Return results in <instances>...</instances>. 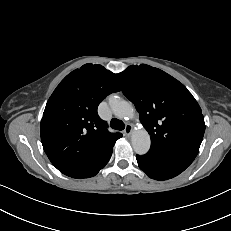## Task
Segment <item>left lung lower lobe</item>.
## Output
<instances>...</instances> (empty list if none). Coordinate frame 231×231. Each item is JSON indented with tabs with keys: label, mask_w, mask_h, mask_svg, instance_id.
I'll return each instance as SVG.
<instances>
[{
	"label": "left lung lower lobe",
	"mask_w": 231,
	"mask_h": 231,
	"mask_svg": "<svg viewBox=\"0 0 231 231\" xmlns=\"http://www.w3.org/2000/svg\"><path fill=\"white\" fill-rule=\"evenodd\" d=\"M138 165L150 178L167 180L179 175L192 162L184 159L165 157L153 153L136 156Z\"/></svg>",
	"instance_id": "obj_1"
}]
</instances>
